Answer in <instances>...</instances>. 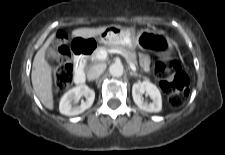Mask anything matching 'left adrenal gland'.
<instances>
[{"label":"left adrenal gland","instance_id":"left-adrenal-gland-1","mask_svg":"<svg viewBox=\"0 0 225 155\" xmlns=\"http://www.w3.org/2000/svg\"><path fill=\"white\" fill-rule=\"evenodd\" d=\"M130 75H131V76H135V77L138 76L137 73H135V72H130Z\"/></svg>","mask_w":225,"mask_h":155}]
</instances>
